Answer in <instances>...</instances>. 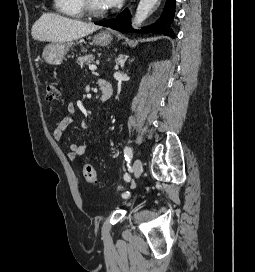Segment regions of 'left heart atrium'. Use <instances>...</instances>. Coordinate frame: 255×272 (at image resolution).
Wrapping results in <instances>:
<instances>
[{"label": "left heart atrium", "instance_id": "obj_1", "mask_svg": "<svg viewBox=\"0 0 255 272\" xmlns=\"http://www.w3.org/2000/svg\"><path fill=\"white\" fill-rule=\"evenodd\" d=\"M123 0H101L105 8H111L119 5Z\"/></svg>", "mask_w": 255, "mask_h": 272}]
</instances>
